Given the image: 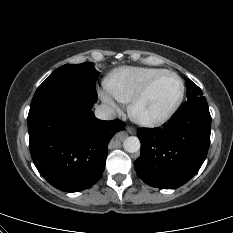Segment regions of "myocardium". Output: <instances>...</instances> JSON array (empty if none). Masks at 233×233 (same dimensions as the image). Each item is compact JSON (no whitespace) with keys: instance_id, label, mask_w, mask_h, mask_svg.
<instances>
[{"instance_id":"obj_1","label":"myocardium","mask_w":233,"mask_h":233,"mask_svg":"<svg viewBox=\"0 0 233 233\" xmlns=\"http://www.w3.org/2000/svg\"><path fill=\"white\" fill-rule=\"evenodd\" d=\"M164 75L174 76L178 80L180 86L178 97L173 102V104L163 114H161L158 117L143 118L139 116L137 113V108L139 104L147 96L153 85ZM184 95H185V85L182 78L174 71L163 70L160 73L153 76L149 81H147L145 85L135 94V96L129 102L128 111L130 116L141 125L149 126V127L159 126L167 122L175 114V112L178 110V108L180 107L183 101Z\"/></svg>"}]
</instances>
